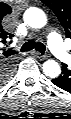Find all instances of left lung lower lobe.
<instances>
[{
  "mask_svg": "<svg viewBox=\"0 0 71 119\" xmlns=\"http://www.w3.org/2000/svg\"><path fill=\"white\" fill-rule=\"evenodd\" d=\"M62 74L58 78L53 79L52 82L62 89L69 90L71 87V73L67 70L66 64L63 65Z\"/></svg>",
  "mask_w": 71,
  "mask_h": 119,
  "instance_id": "1",
  "label": "left lung lower lobe"
}]
</instances>
